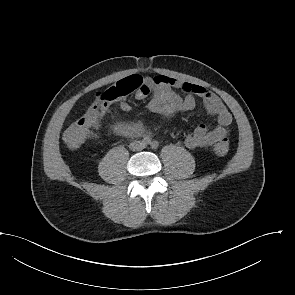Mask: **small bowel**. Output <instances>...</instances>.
Returning a JSON list of instances; mask_svg holds the SVG:
<instances>
[{
	"label": "small bowel",
	"instance_id": "c3829d8e",
	"mask_svg": "<svg viewBox=\"0 0 295 295\" xmlns=\"http://www.w3.org/2000/svg\"><path fill=\"white\" fill-rule=\"evenodd\" d=\"M178 91L184 93L180 96ZM151 95L148 109L165 119H171L179 113L188 112L196 107V97L202 99L208 114L216 118L217 125L210 128L206 124L198 125L184 138L185 145L190 149L215 146L222 142L228 143L229 127L232 115L222 100L209 89L182 81L177 78L157 75L146 77L142 87L136 92L137 99ZM123 111H129L131 106L127 102H120ZM117 130L124 135H139L144 127L139 122L122 123Z\"/></svg>",
	"mask_w": 295,
	"mask_h": 295
}]
</instances>
